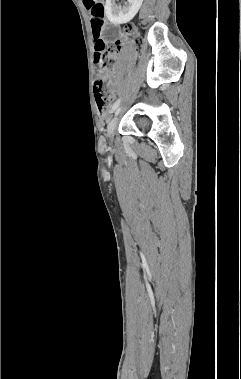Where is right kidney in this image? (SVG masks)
<instances>
[{
  "instance_id": "obj_1",
  "label": "right kidney",
  "mask_w": 241,
  "mask_h": 379,
  "mask_svg": "<svg viewBox=\"0 0 241 379\" xmlns=\"http://www.w3.org/2000/svg\"><path fill=\"white\" fill-rule=\"evenodd\" d=\"M143 0H127L123 7H119L115 0H106L105 13L108 20L114 25L125 24L131 21L139 11Z\"/></svg>"
}]
</instances>
